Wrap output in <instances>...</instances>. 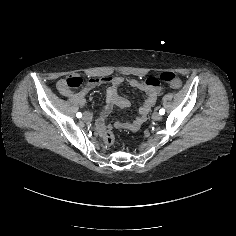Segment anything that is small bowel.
Wrapping results in <instances>:
<instances>
[{
    "label": "small bowel",
    "mask_w": 236,
    "mask_h": 236,
    "mask_svg": "<svg viewBox=\"0 0 236 236\" xmlns=\"http://www.w3.org/2000/svg\"><path fill=\"white\" fill-rule=\"evenodd\" d=\"M103 80H106V78L104 79H92L89 81V83L87 84V87L85 88L84 91L82 92H79V93H73L71 92L69 89H67L65 86H64V80H61L58 82L57 84V87L58 89L60 90V92L63 94V95H66V96H69V97H81L84 99V96L85 94L87 93V91H89L90 89H92L93 87H95L96 85L100 84ZM154 99H155V96L153 99H150L147 104L144 106V107H141L140 109V113H141V117L138 118L135 123L133 124L132 127H136L138 126L139 124L142 123L143 121V117L147 114V112L149 111V109L151 108V106L153 105L154 103ZM125 101V104L124 106H120V107H127L129 105V102L127 100H124ZM118 105V104H116ZM102 124V123H101Z\"/></svg>",
    "instance_id": "obj_1"
}]
</instances>
